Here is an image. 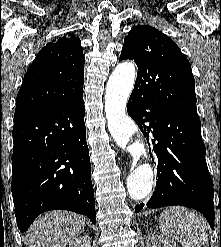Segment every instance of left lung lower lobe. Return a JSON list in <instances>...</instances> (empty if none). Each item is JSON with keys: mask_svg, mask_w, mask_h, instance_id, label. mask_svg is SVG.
<instances>
[{"mask_svg": "<svg viewBox=\"0 0 221 247\" xmlns=\"http://www.w3.org/2000/svg\"><path fill=\"white\" fill-rule=\"evenodd\" d=\"M127 111L147 139L149 134L153 136L158 163L155 192L147 204H137L135 212L144 206L190 207L201 212L214 229L213 182L205 160L200 121L168 112L133 93Z\"/></svg>", "mask_w": 221, "mask_h": 247, "instance_id": "obj_1", "label": "left lung lower lobe"}]
</instances>
